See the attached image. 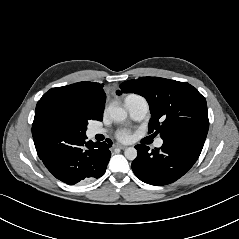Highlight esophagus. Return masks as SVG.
<instances>
[{
  "instance_id": "34e87169",
  "label": "esophagus",
  "mask_w": 239,
  "mask_h": 239,
  "mask_svg": "<svg viewBox=\"0 0 239 239\" xmlns=\"http://www.w3.org/2000/svg\"><path fill=\"white\" fill-rule=\"evenodd\" d=\"M115 147H117L119 149H126L127 148V146L121 145V144H116Z\"/></svg>"
}]
</instances>
